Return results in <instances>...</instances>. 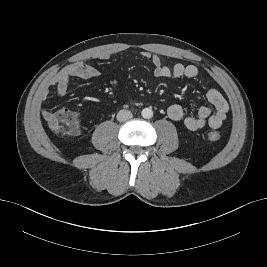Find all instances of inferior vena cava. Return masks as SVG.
<instances>
[{
	"instance_id": "1",
	"label": "inferior vena cava",
	"mask_w": 267,
	"mask_h": 267,
	"mask_svg": "<svg viewBox=\"0 0 267 267\" xmlns=\"http://www.w3.org/2000/svg\"><path fill=\"white\" fill-rule=\"evenodd\" d=\"M132 118V113L129 110L123 109L117 113V120L124 122Z\"/></svg>"
}]
</instances>
